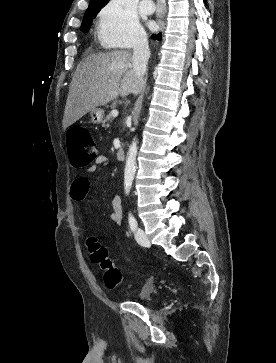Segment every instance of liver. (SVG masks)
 <instances>
[{"label": "liver", "instance_id": "1", "mask_svg": "<svg viewBox=\"0 0 276 363\" xmlns=\"http://www.w3.org/2000/svg\"><path fill=\"white\" fill-rule=\"evenodd\" d=\"M143 86L126 50L97 53L78 65L69 87L63 128L66 129L89 111L106 105L119 95L137 94Z\"/></svg>", "mask_w": 276, "mask_h": 363}]
</instances>
